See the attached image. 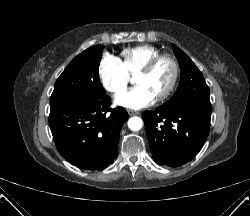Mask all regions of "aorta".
I'll use <instances>...</instances> for the list:
<instances>
[{"mask_svg":"<svg viewBox=\"0 0 250 216\" xmlns=\"http://www.w3.org/2000/svg\"><path fill=\"white\" fill-rule=\"evenodd\" d=\"M143 126V121L140 117L134 116L128 120V127L131 131H139Z\"/></svg>","mask_w":250,"mask_h":216,"instance_id":"1","label":"aorta"}]
</instances>
